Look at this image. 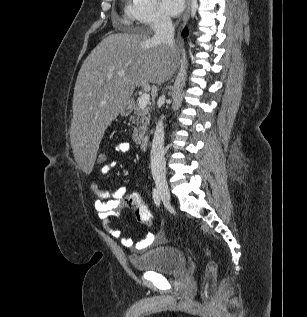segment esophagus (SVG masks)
Listing matches in <instances>:
<instances>
[{"mask_svg": "<svg viewBox=\"0 0 307 317\" xmlns=\"http://www.w3.org/2000/svg\"><path fill=\"white\" fill-rule=\"evenodd\" d=\"M190 10H191V0H187L186 1V8H185L184 14L182 16V25H185L186 22L188 21L189 16H190Z\"/></svg>", "mask_w": 307, "mask_h": 317, "instance_id": "1", "label": "esophagus"}]
</instances>
